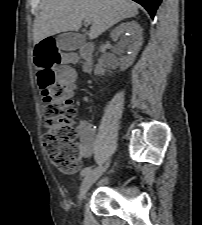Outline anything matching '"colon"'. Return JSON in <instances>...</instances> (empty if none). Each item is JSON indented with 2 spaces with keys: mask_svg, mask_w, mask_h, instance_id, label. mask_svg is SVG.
<instances>
[{
  "mask_svg": "<svg viewBox=\"0 0 202 225\" xmlns=\"http://www.w3.org/2000/svg\"><path fill=\"white\" fill-rule=\"evenodd\" d=\"M38 61V83L43 101V117L50 128L43 136L47 155L61 172H75L80 165V150L74 128L76 109L70 104V88L66 83L54 84L57 78L72 79L73 74L57 73L54 67L63 65L71 56L58 51V38L39 40L34 51Z\"/></svg>",
  "mask_w": 202,
  "mask_h": 225,
  "instance_id": "5ec220e1",
  "label": "colon"
}]
</instances>
